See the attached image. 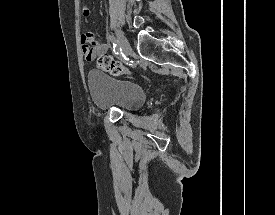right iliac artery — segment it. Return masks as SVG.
Masks as SVG:
<instances>
[{
	"label": "right iliac artery",
	"instance_id": "82829eb1",
	"mask_svg": "<svg viewBox=\"0 0 275 215\" xmlns=\"http://www.w3.org/2000/svg\"><path fill=\"white\" fill-rule=\"evenodd\" d=\"M108 38L113 42V51L116 55H118L121 52V47L116 43V40L112 36H108Z\"/></svg>",
	"mask_w": 275,
	"mask_h": 215
}]
</instances>
